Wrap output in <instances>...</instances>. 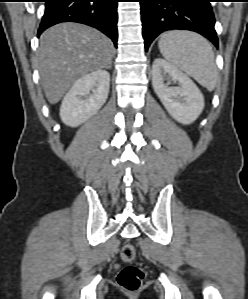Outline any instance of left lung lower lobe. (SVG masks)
I'll use <instances>...</instances> for the list:
<instances>
[{"label":"left lung lower lobe","instance_id":"obj_1","mask_svg":"<svg viewBox=\"0 0 248 299\" xmlns=\"http://www.w3.org/2000/svg\"><path fill=\"white\" fill-rule=\"evenodd\" d=\"M211 0H140L145 49L162 32L195 31L218 47Z\"/></svg>","mask_w":248,"mask_h":299}]
</instances>
